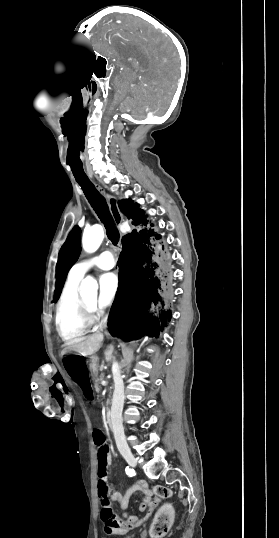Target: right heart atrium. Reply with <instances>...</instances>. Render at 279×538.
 I'll return each mask as SVG.
<instances>
[{
  "label": "right heart atrium",
  "instance_id": "d8ad5b80",
  "mask_svg": "<svg viewBox=\"0 0 279 538\" xmlns=\"http://www.w3.org/2000/svg\"><path fill=\"white\" fill-rule=\"evenodd\" d=\"M99 312H100V314H104V310L101 309V308L99 309Z\"/></svg>",
  "mask_w": 279,
  "mask_h": 538
}]
</instances>
